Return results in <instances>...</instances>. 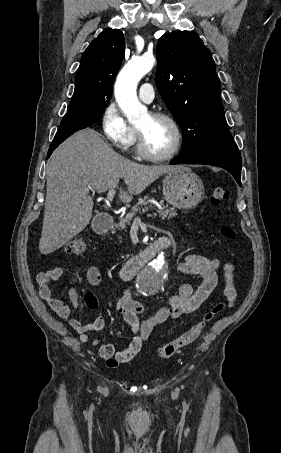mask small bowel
I'll use <instances>...</instances> for the list:
<instances>
[{"instance_id":"obj_1","label":"small bowel","mask_w":281,"mask_h":453,"mask_svg":"<svg viewBox=\"0 0 281 453\" xmlns=\"http://www.w3.org/2000/svg\"><path fill=\"white\" fill-rule=\"evenodd\" d=\"M170 242V239H164L165 244H170ZM161 244V241L157 239L154 243L148 245H156L157 251H160L165 248ZM217 268H221L224 272L225 297L229 303H233L237 297L232 277L234 265L230 261L221 262L215 258H206L198 255H182V260L177 263L175 269L180 275L196 276L201 281L199 287L193 289L190 285H181L178 292L172 296L169 308L158 310L145 320L140 321L138 318L139 313L143 311L142 306L130 297L129 291H125L116 303V310L133 330V338L128 346L122 349H116L112 344L100 346V358L107 361L111 368H116L120 363H127L140 351L142 344L149 338L154 328L169 318L176 319L182 313L196 311L220 283L216 272ZM63 275L64 270L61 267L39 271L37 284L40 295L59 316L69 320L70 326L78 332L82 343L97 345L98 341L93 339L89 333L104 329V317L98 315L93 322L81 324L79 320L71 318L70 309L64 301L52 296L50 282L62 278ZM86 278L92 285L101 284V275L95 267L88 269ZM68 297L72 307L78 310L80 304L75 287L71 286L68 289Z\"/></svg>"}]
</instances>
